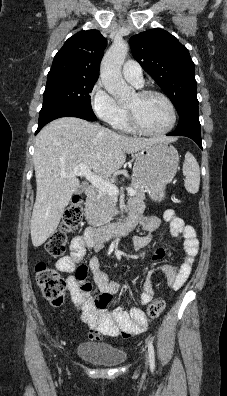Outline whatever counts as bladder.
Instances as JSON below:
<instances>
[{
  "instance_id": "1",
  "label": "bladder",
  "mask_w": 227,
  "mask_h": 396,
  "mask_svg": "<svg viewBox=\"0 0 227 396\" xmlns=\"http://www.w3.org/2000/svg\"><path fill=\"white\" fill-rule=\"evenodd\" d=\"M76 353L88 363L107 367L117 366L127 358L124 351L98 342H82L77 346Z\"/></svg>"
}]
</instances>
